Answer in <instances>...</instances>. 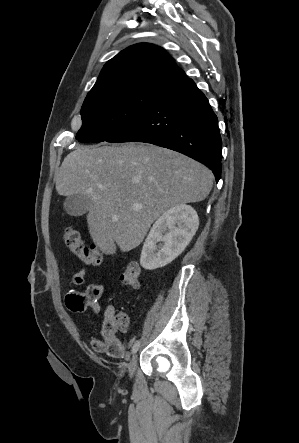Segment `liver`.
<instances>
[{
	"label": "liver",
	"instance_id": "liver-1",
	"mask_svg": "<svg viewBox=\"0 0 299 443\" xmlns=\"http://www.w3.org/2000/svg\"><path fill=\"white\" fill-rule=\"evenodd\" d=\"M213 178L203 164L166 148L133 143L78 146L62 162L56 191L91 197L90 236L103 253L115 254L116 245L122 252L136 248L168 209L203 201Z\"/></svg>",
	"mask_w": 299,
	"mask_h": 443
}]
</instances>
